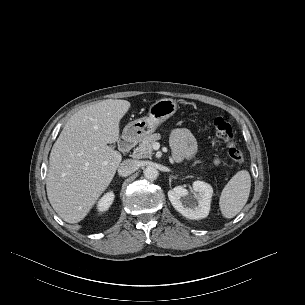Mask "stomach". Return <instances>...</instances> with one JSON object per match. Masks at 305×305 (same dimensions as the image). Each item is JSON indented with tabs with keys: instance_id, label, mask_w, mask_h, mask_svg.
Listing matches in <instances>:
<instances>
[{
	"instance_id": "0dacf381",
	"label": "stomach",
	"mask_w": 305,
	"mask_h": 305,
	"mask_svg": "<svg viewBox=\"0 0 305 305\" xmlns=\"http://www.w3.org/2000/svg\"><path fill=\"white\" fill-rule=\"evenodd\" d=\"M178 104L171 98L157 100L149 110L148 116L128 123L123 130L124 138H143L153 132L175 114Z\"/></svg>"
}]
</instances>
